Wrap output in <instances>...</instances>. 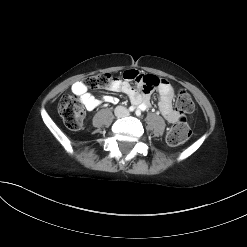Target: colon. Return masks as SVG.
Returning <instances> with one entry per match:
<instances>
[{"mask_svg": "<svg viewBox=\"0 0 247 247\" xmlns=\"http://www.w3.org/2000/svg\"><path fill=\"white\" fill-rule=\"evenodd\" d=\"M110 74L112 73L91 75L85 79L84 84L91 89H104V81ZM146 81L151 87L157 84V80L153 77H147ZM175 104L176 109L181 114H189L194 111L192 97L184 90L179 91ZM58 112L67 128L79 130L82 127L85 118V109L84 104L78 97L69 94L62 96L58 105ZM190 134V127L186 119L181 116L167 133L166 141L171 146H177L184 143L190 137Z\"/></svg>", "mask_w": 247, "mask_h": 247, "instance_id": "1", "label": "colon"}]
</instances>
